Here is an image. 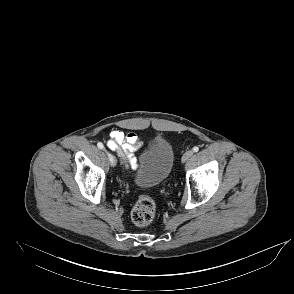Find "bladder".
<instances>
[{
    "label": "bladder",
    "instance_id": "1",
    "mask_svg": "<svg viewBox=\"0 0 294 294\" xmlns=\"http://www.w3.org/2000/svg\"><path fill=\"white\" fill-rule=\"evenodd\" d=\"M174 159L171 142L164 136H157L141 157V168L136 184L141 187H155L162 184L171 173Z\"/></svg>",
    "mask_w": 294,
    "mask_h": 294
}]
</instances>
